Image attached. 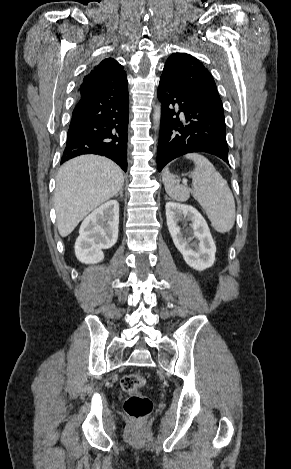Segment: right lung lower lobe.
<instances>
[{"label": "right lung lower lobe", "instance_id": "obj_1", "mask_svg": "<svg viewBox=\"0 0 291 469\" xmlns=\"http://www.w3.org/2000/svg\"><path fill=\"white\" fill-rule=\"evenodd\" d=\"M128 90H100L79 97L72 113L61 163L98 154L127 171Z\"/></svg>", "mask_w": 291, "mask_h": 469}]
</instances>
